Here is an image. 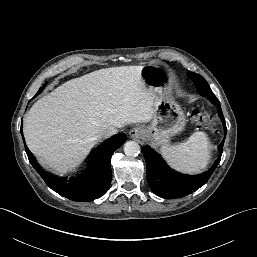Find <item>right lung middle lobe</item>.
I'll return each instance as SVG.
<instances>
[{
    "instance_id": "dd1d6c3e",
    "label": "right lung middle lobe",
    "mask_w": 257,
    "mask_h": 257,
    "mask_svg": "<svg viewBox=\"0 0 257 257\" xmlns=\"http://www.w3.org/2000/svg\"><path fill=\"white\" fill-rule=\"evenodd\" d=\"M44 87H45V86L41 87L38 93H40V92L44 89Z\"/></svg>"
}]
</instances>
